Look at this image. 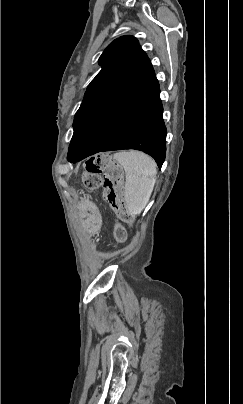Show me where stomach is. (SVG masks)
Returning <instances> with one entry per match:
<instances>
[{
	"label": "stomach",
	"instance_id": "obj_1",
	"mask_svg": "<svg viewBox=\"0 0 243 404\" xmlns=\"http://www.w3.org/2000/svg\"><path fill=\"white\" fill-rule=\"evenodd\" d=\"M79 208L83 226L92 232L97 231L102 224L101 215L97 207L89 200L83 199Z\"/></svg>",
	"mask_w": 243,
	"mask_h": 404
}]
</instances>
